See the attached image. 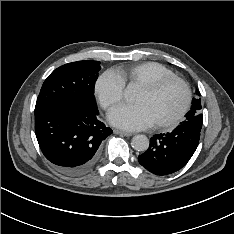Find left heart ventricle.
<instances>
[{"instance_id":"b2bd125f","label":"left heart ventricle","mask_w":234,"mask_h":234,"mask_svg":"<svg viewBox=\"0 0 234 234\" xmlns=\"http://www.w3.org/2000/svg\"><path fill=\"white\" fill-rule=\"evenodd\" d=\"M184 102V91L177 83H172L154 94L138 90L134 103L142 105L148 112L153 124L173 117Z\"/></svg>"}]
</instances>
